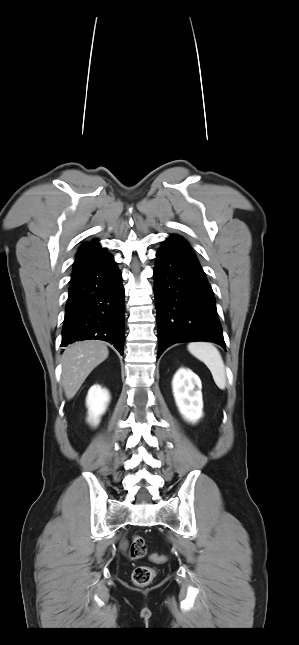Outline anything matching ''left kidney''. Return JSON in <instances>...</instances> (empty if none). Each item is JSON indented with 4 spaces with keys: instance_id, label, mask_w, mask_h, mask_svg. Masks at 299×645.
I'll use <instances>...</instances> for the list:
<instances>
[{
    "instance_id": "1",
    "label": "left kidney",
    "mask_w": 299,
    "mask_h": 645,
    "mask_svg": "<svg viewBox=\"0 0 299 645\" xmlns=\"http://www.w3.org/2000/svg\"><path fill=\"white\" fill-rule=\"evenodd\" d=\"M201 381L191 370L181 368L173 377L172 389L176 405L183 418L196 423L203 415Z\"/></svg>"
}]
</instances>
